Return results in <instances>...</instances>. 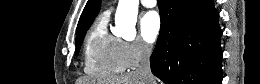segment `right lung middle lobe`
<instances>
[{
  "label": "right lung middle lobe",
  "mask_w": 260,
  "mask_h": 84,
  "mask_svg": "<svg viewBox=\"0 0 260 84\" xmlns=\"http://www.w3.org/2000/svg\"><path fill=\"white\" fill-rule=\"evenodd\" d=\"M89 28V27H88ZM88 28H86L85 30H83L82 32H80L77 36H76V53H78L79 52V49H80V45L82 44V41H83V39H84V36H85V34H86V31H87V29Z\"/></svg>",
  "instance_id": "dd1d6c3e"
}]
</instances>
